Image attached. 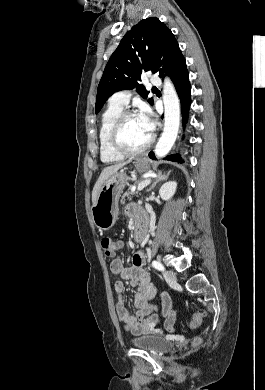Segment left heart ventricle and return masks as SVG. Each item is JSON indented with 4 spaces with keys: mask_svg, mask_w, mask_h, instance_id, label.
Wrapping results in <instances>:
<instances>
[{
    "mask_svg": "<svg viewBox=\"0 0 265 390\" xmlns=\"http://www.w3.org/2000/svg\"><path fill=\"white\" fill-rule=\"evenodd\" d=\"M137 116L129 117L122 128V141L129 149H138L149 139Z\"/></svg>",
    "mask_w": 265,
    "mask_h": 390,
    "instance_id": "1",
    "label": "left heart ventricle"
}]
</instances>
